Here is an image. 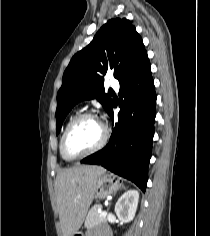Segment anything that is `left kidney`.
<instances>
[{"label":"left kidney","instance_id":"obj_1","mask_svg":"<svg viewBox=\"0 0 210 236\" xmlns=\"http://www.w3.org/2000/svg\"><path fill=\"white\" fill-rule=\"evenodd\" d=\"M139 201V192L135 189L126 191L117 201L115 205V213L123 222L133 220Z\"/></svg>","mask_w":210,"mask_h":236}]
</instances>
